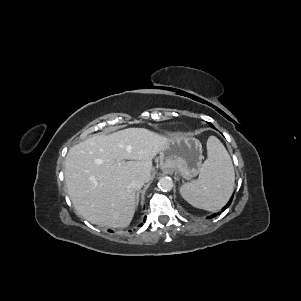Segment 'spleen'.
<instances>
[{
  "mask_svg": "<svg viewBox=\"0 0 301 301\" xmlns=\"http://www.w3.org/2000/svg\"><path fill=\"white\" fill-rule=\"evenodd\" d=\"M207 151L208 158L202 164L199 178L183 184L180 193L192 206L216 212L233 192L235 173L227 150L216 137L208 138Z\"/></svg>",
  "mask_w": 301,
  "mask_h": 301,
  "instance_id": "1",
  "label": "spleen"
}]
</instances>
